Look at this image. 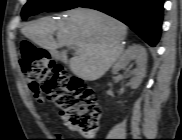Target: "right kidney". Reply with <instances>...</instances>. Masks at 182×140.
Returning <instances> with one entry per match:
<instances>
[{
	"label": "right kidney",
	"mask_w": 182,
	"mask_h": 140,
	"mask_svg": "<svg viewBox=\"0 0 182 140\" xmlns=\"http://www.w3.org/2000/svg\"><path fill=\"white\" fill-rule=\"evenodd\" d=\"M129 61H134L136 65L132 72L133 77L129 82L131 88L136 89L139 87L146 74L147 54L145 48L136 44L130 46L114 65L113 73H117L119 70L125 68Z\"/></svg>",
	"instance_id": "ca27d5eb"
}]
</instances>
